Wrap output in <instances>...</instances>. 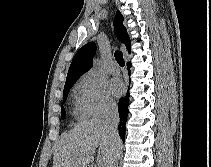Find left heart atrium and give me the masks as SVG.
I'll use <instances>...</instances> for the list:
<instances>
[{
	"mask_svg": "<svg viewBox=\"0 0 211 167\" xmlns=\"http://www.w3.org/2000/svg\"><path fill=\"white\" fill-rule=\"evenodd\" d=\"M107 89L112 96L118 97L123 93L124 86L119 79L114 78L108 82Z\"/></svg>",
	"mask_w": 211,
	"mask_h": 167,
	"instance_id": "obj_1",
	"label": "left heart atrium"
}]
</instances>
